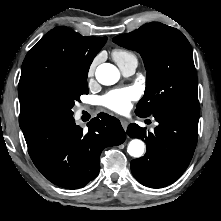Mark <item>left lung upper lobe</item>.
<instances>
[{"label": "left lung upper lobe", "mask_w": 221, "mask_h": 221, "mask_svg": "<svg viewBox=\"0 0 221 221\" xmlns=\"http://www.w3.org/2000/svg\"><path fill=\"white\" fill-rule=\"evenodd\" d=\"M113 41L139 52L145 63L146 90L137 104V115L148 117L155 109H163L199 117L192 48L179 30L158 22L148 23Z\"/></svg>", "instance_id": "left-lung-upper-lobe-1"}]
</instances>
